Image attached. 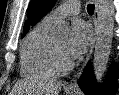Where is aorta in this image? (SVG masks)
<instances>
[{"instance_id":"obj_1","label":"aorta","mask_w":119,"mask_h":95,"mask_svg":"<svg viewBox=\"0 0 119 95\" xmlns=\"http://www.w3.org/2000/svg\"><path fill=\"white\" fill-rule=\"evenodd\" d=\"M98 25L96 28V44L93 60V71L98 84L101 83L110 56L114 28V5L112 0H97ZM54 31L66 35L69 25L65 21H58L54 25Z\"/></svg>"}]
</instances>
